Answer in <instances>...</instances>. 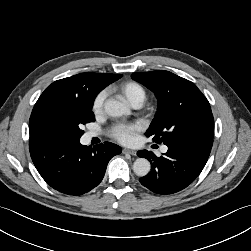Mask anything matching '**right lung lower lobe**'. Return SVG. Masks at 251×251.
<instances>
[{
	"instance_id": "1",
	"label": "right lung lower lobe",
	"mask_w": 251,
	"mask_h": 251,
	"mask_svg": "<svg viewBox=\"0 0 251 251\" xmlns=\"http://www.w3.org/2000/svg\"><path fill=\"white\" fill-rule=\"evenodd\" d=\"M29 150L46 183L69 195H81L96 187L103 179L109 160L122 152L121 147L110 142L91 149L79 140L48 138H30Z\"/></svg>"
}]
</instances>
